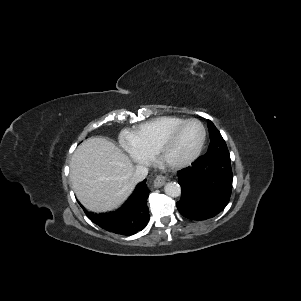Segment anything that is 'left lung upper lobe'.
Listing matches in <instances>:
<instances>
[{"mask_svg": "<svg viewBox=\"0 0 301 301\" xmlns=\"http://www.w3.org/2000/svg\"><path fill=\"white\" fill-rule=\"evenodd\" d=\"M207 123H208L209 134H210V144H209L208 151L204 156H209L214 154L229 155V151L226 146V143L222 138L218 129L210 120H208Z\"/></svg>", "mask_w": 301, "mask_h": 301, "instance_id": "obj_1", "label": "left lung upper lobe"}]
</instances>
